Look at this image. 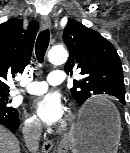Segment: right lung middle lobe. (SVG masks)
I'll return each instance as SVG.
<instances>
[{
    "instance_id": "right-lung-middle-lobe-1",
    "label": "right lung middle lobe",
    "mask_w": 130,
    "mask_h": 153,
    "mask_svg": "<svg viewBox=\"0 0 130 153\" xmlns=\"http://www.w3.org/2000/svg\"><path fill=\"white\" fill-rule=\"evenodd\" d=\"M10 102L11 101L8 100V91H0V109L8 112H16V109L7 105Z\"/></svg>"
}]
</instances>
